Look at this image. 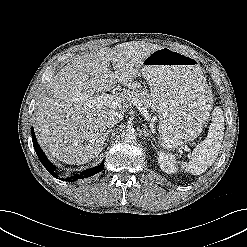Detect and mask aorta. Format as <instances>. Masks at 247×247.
Wrapping results in <instances>:
<instances>
[{"mask_svg": "<svg viewBox=\"0 0 247 247\" xmlns=\"http://www.w3.org/2000/svg\"><path fill=\"white\" fill-rule=\"evenodd\" d=\"M121 138L125 143L134 142L137 138V132L135 129H126L122 132Z\"/></svg>", "mask_w": 247, "mask_h": 247, "instance_id": "762f6f07", "label": "aorta"}]
</instances>
